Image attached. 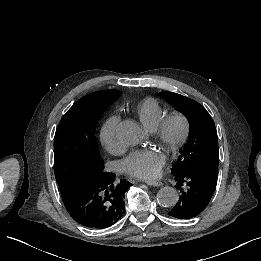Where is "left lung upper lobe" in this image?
Returning <instances> with one entry per match:
<instances>
[{
  "label": "left lung upper lobe",
  "instance_id": "5c2ea615",
  "mask_svg": "<svg viewBox=\"0 0 261 261\" xmlns=\"http://www.w3.org/2000/svg\"><path fill=\"white\" fill-rule=\"evenodd\" d=\"M160 96L176 110L183 112L190 125L186 147L171 172L175 175L196 170L217 177L219 162L217 131L207 110L198 102L180 94L161 92Z\"/></svg>",
  "mask_w": 261,
  "mask_h": 261
}]
</instances>
